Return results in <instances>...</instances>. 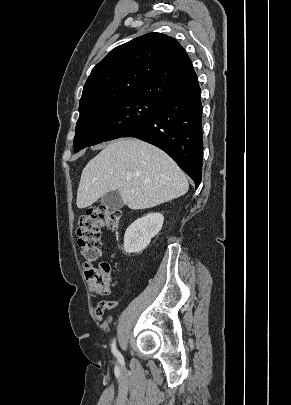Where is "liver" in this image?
<instances>
[{
    "instance_id": "liver-1",
    "label": "liver",
    "mask_w": 291,
    "mask_h": 405,
    "mask_svg": "<svg viewBox=\"0 0 291 405\" xmlns=\"http://www.w3.org/2000/svg\"><path fill=\"white\" fill-rule=\"evenodd\" d=\"M188 180L159 148L135 138L109 143L82 171L77 207L91 206L110 191H118L130 209H146L187 193Z\"/></svg>"
}]
</instances>
